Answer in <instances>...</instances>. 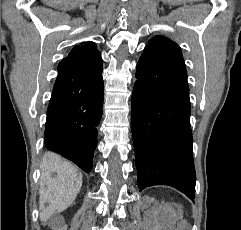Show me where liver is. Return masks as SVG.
I'll return each mask as SVG.
<instances>
[{"label":"liver","instance_id":"liver-1","mask_svg":"<svg viewBox=\"0 0 241 230\" xmlns=\"http://www.w3.org/2000/svg\"><path fill=\"white\" fill-rule=\"evenodd\" d=\"M41 183L46 185L40 201V219L46 221L55 212L66 210L74 202L82 186V174L70 162L47 152L41 162ZM53 173L56 175L53 177ZM48 202L47 207L44 204Z\"/></svg>","mask_w":241,"mask_h":230}]
</instances>
